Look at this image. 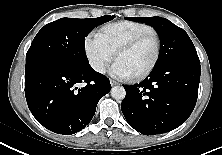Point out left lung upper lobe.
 <instances>
[{
  "label": "left lung upper lobe",
  "mask_w": 222,
  "mask_h": 155,
  "mask_svg": "<svg viewBox=\"0 0 222 155\" xmlns=\"http://www.w3.org/2000/svg\"><path fill=\"white\" fill-rule=\"evenodd\" d=\"M127 20L143 22L156 29L160 37V54L154 68L174 61L200 63L196 49L188 34L180 27L162 17H126Z\"/></svg>",
  "instance_id": "5c2ea615"
}]
</instances>
